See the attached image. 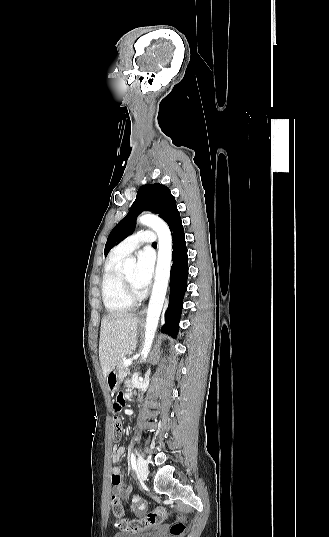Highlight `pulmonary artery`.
<instances>
[{"instance_id": "pulmonary-artery-1", "label": "pulmonary artery", "mask_w": 329, "mask_h": 537, "mask_svg": "<svg viewBox=\"0 0 329 537\" xmlns=\"http://www.w3.org/2000/svg\"><path fill=\"white\" fill-rule=\"evenodd\" d=\"M156 241V234L153 231L137 232L113 249V254L125 257L142 245L153 244Z\"/></svg>"}]
</instances>
